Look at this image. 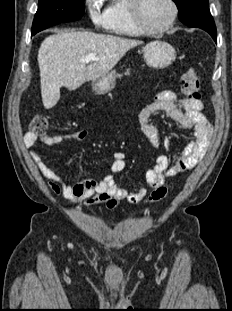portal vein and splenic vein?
<instances>
[{"label":"portal vein and splenic vein","instance_id":"portal-vein-and-splenic-vein-1","mask_svg":"<svg viewBox=\"0 0 232 311\" xmlns=\"http://www.w3.org/2000/svg\"><path fill=\"white\" fill-rule=\"evenodd\" d=\"M99 60V58L94 54V53H89L86 57H85V61L89 62V61H97Z\"/></svg>","mask_w":232,"mask_h":311}]
</instances>
